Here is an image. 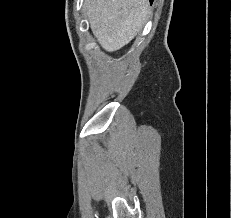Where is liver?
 <instances>
[{
    "mask_svg": "<svg viewBox=\"0 0 231 218\" xmlns=\"http://www.w3.org/2000/svg\"><path fill=\"white\" fill-rule=\"evenodd\" d=\"M91 30L107 52L127 45L143 27L148 0H85Z\"/></svg>",
    "mask_w": 231,
    "mask_h": 218,
    "instance_id": "obj_1",
    "label": "liver"
}]
</instances>
